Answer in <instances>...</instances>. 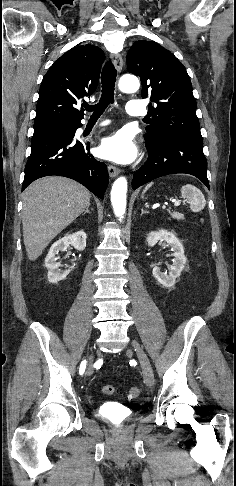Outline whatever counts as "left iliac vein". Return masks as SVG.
I'll use <instances>...</instances> for the list:
<instances>
[{"mask_svg":"<svg viewBox=\"0 0 236 486\" xmlns=\"http://www.w3.org/2000/svg\"><path fill=\"white\" fill-rule=\"evenodd\" d=\"M132 346H133V348L136 352L138 361L141 365L145 384L148 387H153V385H154V374H153V370H152V367H151V364H150V361H149L147 355L145 354L144 350L142 349V347L140 346V344L137 341L133 340Z\"/></svg>","mask_w":236,"mask_h":486,"instance_id":"1","label":"left iliac vein"}]
</instances>
